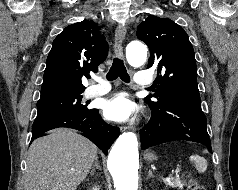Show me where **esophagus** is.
<instances>
[{"mask_svg":"<svg viewBox=\"0 0 238 190\" xmlns=\"http://www.w3.org/2000/svg\"><path fill=\"white\" fill-rule=\"evenodd\" d=\"M125 35H126V28L122 25H119L115 31L114 53L120 59H123L124 57L122 43L125 39ZM127 129L128 128L125 126L120 127V130L122 132L126 131Z\"/></svg>","mask_w":238,"mask_h":190,"instance_id":"34e87169","label":"esophagus"}]
</instances>
